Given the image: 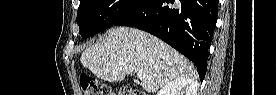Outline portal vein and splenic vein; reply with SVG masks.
I'll return each mask as SVG.
<instances>
[{
    "label": "portal vein and splenic vein",
    "mask_w": 277,
    "mask_h": 95,
    "mask_svg": "<svg viewBox=\"0 0 277 95\" xmlns=\"http://www.w3.org/2000/svg\"><path fill=\"white\" fill-rule=\"evenodd\" d=\"M137 77L138 78H143L144 77V74L142 72H137Z\"/></svg>",
    "instance_id": "obj_1"
}]
</instances>
